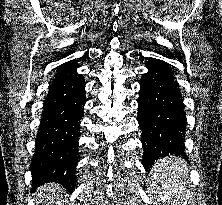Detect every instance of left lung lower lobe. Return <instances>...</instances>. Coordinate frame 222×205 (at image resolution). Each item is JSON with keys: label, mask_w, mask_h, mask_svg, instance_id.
Returning <instances> with one entry per match:
<instances>
[{"label": "left lung lower lobe", "mask_w": 222, "mask_h": 205, "mask_svg": "<svg viewBox=\"0 0 222 205\" xmlns=\"http://www.w3.org/2000/svg\"><path fill=\"white\" fill-rule=\"evenodd\" d=\"M138 98L137 120L142 130L143 166L147 171L162 157L175 154L187 159L184 153L186 117L179 84L166 62L158 59L146 65Z\"/></svg>", "instance_id": "obj_1"}]
</instances>
